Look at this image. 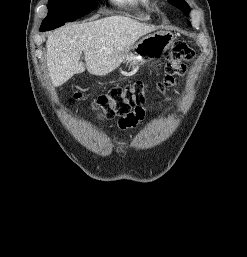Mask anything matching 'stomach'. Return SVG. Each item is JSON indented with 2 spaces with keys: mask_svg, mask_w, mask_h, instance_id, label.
<instances>
[{
  "mask_svg": "<svg viewBox=\"0 0 247 257\" xmlns=\"http://www.w3.org/2000/svg\"><path fill=\"white\" fill-rule=\"evenodd\" d=\"M174 36L170 32H157L143 37L133 47V52L128 53L125 63L129 68L144 64L162 55L173 44Z\"/></svg>",
  "mask_w": 247,
  "mask_h": 257,
  "instance_id": "stomach-1",
  "label": "stomach"
}]
</instances>
